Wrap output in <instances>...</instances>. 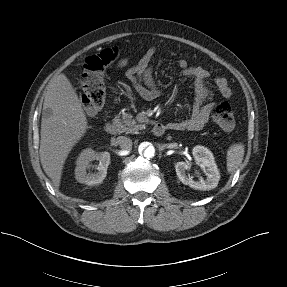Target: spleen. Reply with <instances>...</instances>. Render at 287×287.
Wrapping results in <instances>:
<instances>
[{"mask_svg": "<svg viewBox=\"0 0 287 287\" xmlns=\"http://www.w3.org/2000/svg\"><path fill=\"white\" fill-rule=\"evenodd\" d=\"M244 152V145L242 143H236L229 147L226 157L227 171L229 173H234L238 169L242 163Z\"/></svg>", "mask_w": 287, "mask_h": 287, "instance_id": "spleen-1", "label": "spleen"}]
</instances>
